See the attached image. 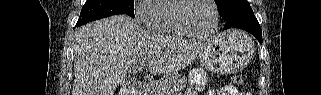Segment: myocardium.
Instances as JSON below:
<instances>
[{
  "instance_id": "1",
  "label": "myocardium",
  "mask_w": 321,
  "mask_h": 95,
  "mask_svg": "<svg viewBox=\"0 0 321 95\" xmlns=\"http://www.w3.org/2000/svg\"><path fill=\"white\" fill-rule=\"evenodd\" d=\"M193 1H195V0H178V2L176 3V5L174 6V8L172 10V16H171L172 22L177 27H179L180 29L185 31L187 34L192 35V36L205 37V36H209V35L213 34L217 30L218 24H219V11H218V7L216 5V2L214 0H208L210 2V4L212 5L213 11H214V24H213L212 28L206 32H200V31L196 30L195 28H193L184 18L185 9Z\"/></svg>"
}]
</instances>
